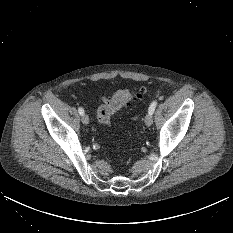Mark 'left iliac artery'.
I'll return each mask as SVG.
<instances>
[{
  "label": "left iliac artery",
  "instance_id": "obj_1",
  "mask_svg": "<svg viewBox=\"0 0 233 233\" xmlns=\"http://www.w3.org/2000/svg\"><path fill=\"white\" fill-rule=\"evenodd\" d=\"M156 106H157V101H153L152 103H151V105L149 106V113L150 114H153V112L155 111V108H156Z\"/></svg>",
  "mask_w": 233,
  "mask_h": 233
}]
</instances>
